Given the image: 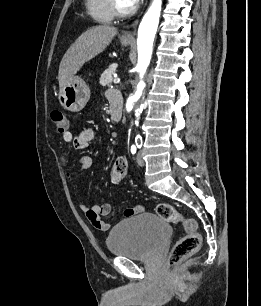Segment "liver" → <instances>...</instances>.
<instances>
[{
	"label": "liver",
	"mask_w": 261,
	"mask_h": 306,
	"mask_svg": "<svg viewBox=\"0 0 261 306\" xmlns=\"http://www.w3.org/2000/svg\"><path fill=\"white\" fill-rule=\"evenodd\" d=\"M117 34L109 25H98L81 34L64 54L59 65V87L64 88L89 60L102 53Z\"/></svg>",
	"instance_id": "6515ba94"
}]
</instances>
